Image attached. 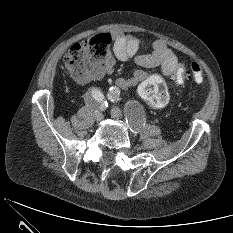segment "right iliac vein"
Returning a JSON list of instances; mask_svg holds the SVG:
<instances>
[{
	"label": "right iliac vein",
	"instance_id": "63e3f726",
	"mask_svg": "<svg viewBox=\"0 0 233 233\" xmlns=\"http://www.w3.org/2000/svg\"><path fill=\"white\" fill-rule=\"evenodd\" d=\"M95 119L97 120V121H102V119H103V114H102V112H100V111H96L95 112Z\"/></svg>",
	"mask_w": 233,
	"mask_h": 233
}]
</instances>
